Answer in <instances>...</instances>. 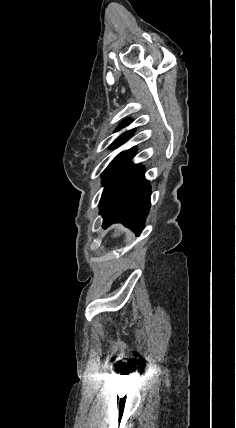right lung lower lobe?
Returning a JSON list of instances; mask_svg holds the SVG:
<instances>
[{
    "instance_id": "1",
    "label": "right lung lower lobe",
    "mask_w": 236,
    "mask_h": 428,
    "mask_svg": "<svg viewBox=\"0 0 236 428\" xmlns=\"http://www.w3.org/2000/svg\"><path fill=\"white\" fill-rule=\"evenodd\" d=\"M150 185L141 165H134L100 202L103 227L123 223L139 234L150 208Z\"/></svg>"
}]
</instances>
